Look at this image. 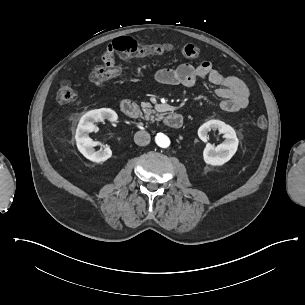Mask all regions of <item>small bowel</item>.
<instances>
[{
  "mask_svg": "<svg viewBox=\"0 0 305 305\" xmlns=\"http://www.w3.org/2000/svg\"><path fill=\"white\" fill-rule=\"evenodd\" d=\"M115 46L105 43L102 46L101 61L104 64L115 62ZM154 80L163 85L193 86L199 79H207L218 86L215 93L221 99L220 108L224 111L236 112L244 109L249 102L250 91L239 78L226 76L219 72L210 61H203L198 65L181 64L175 68L157 70Z\"/></svg>",
  "mask_w": 305,
  "mask_h": 305,
  "instance_id": "obj_1",
  "label": "small bowel"
}]
</instances>
